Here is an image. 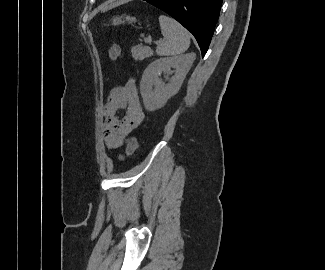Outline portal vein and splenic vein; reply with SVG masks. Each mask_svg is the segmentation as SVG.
<instances>
[{
  "label": "portal vein and splenic vein",
  "mask_w": 325,
  "mask_h": 270,
  "mask_svg": "<svg viewBox=\"0 0 325 270\" xmlns=\"http://www.w3.org/2000/svg\"><path fill=\"white\" fill-rule=\"evenodd\" d=\"M144 41H145V43L151 44V39L150 38H145ZM160 42H161V40L157 41L156 43L158 44Z\"/></svg>",
  "instance_id": "portal-vein-and-splenic-vein-1"
}]
</instances>
